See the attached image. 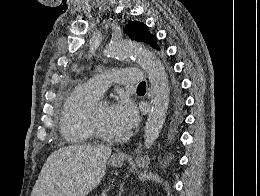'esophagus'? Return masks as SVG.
Returning <instances> with one entry per match:
<instances>
[{"label": "esophagus", "instance_id": "34e87169", "mask_svg": "<svg viewBox=\"0 0 260 196\" xmlns=\"http://www.w3.org/2000/svg\"><path fill=\"white\" fill-rule=\"evenodd\" d=\"M122 154L121 153H117V155H115V158H122Z\"/></svg>", "mask_w": 260, "mask_h": 196}]
</instances>
